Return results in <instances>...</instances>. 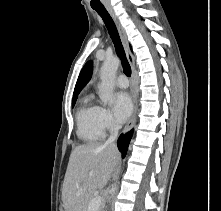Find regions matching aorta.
Returning a JSON list of instances; mask_svg holds the SVG:
<instances>
[{"label":"aorta","mask_w":221,"mask_h":211,"mask_svg":"<svg viewBox=\"0 0 221 211\" xmlns=\"http://www.w3.org/2000/svg\"><path fill=\"white\" fill-rule=\"evenodd\" d=\"M120 64L118 58L106 59L100 70L101 83L99 85V98L103 105L113 103V91L116 73ZM116 186L112 188V195L115 193Z\"/></svg>","instance_id":"762f6f07"}]
</instances>
